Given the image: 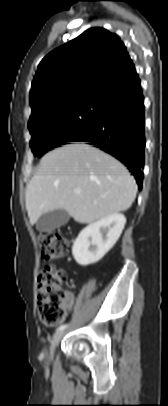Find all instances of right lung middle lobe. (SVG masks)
<instances>
[{
    "label": "right lung middle lobe",
    "instance_id": "obj_1",
    "mask_svg": "<svg viewBox=\"0 0 168 406\" xmlns=\"http://www.w3.org/2000/svg\"><path fill=\"white\" fill-rule=\"evenodd\" d=\"M101 99H90L28 124L34 156L70 142L95 124L102 111Z\"/></svg>",
    "mask_w": 168,
    "mask_h": 406
}]
</instances>
